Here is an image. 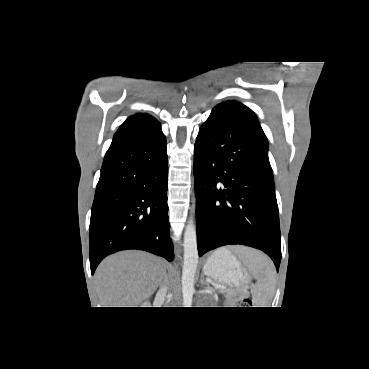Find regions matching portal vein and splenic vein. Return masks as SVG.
<instances>
[{
	"mask_svg": "<svg viewBox=\"0 0 369 369\" xmlns=\"http://www.w3.org/2000/svg\"><path fill=\"white\" fill-rule=\"evenodd\" d=\"M215 288H217V289H219V290H224V289H226V287H225V286H215Z\"/></svg>",
	"mask_w": 369,
	"mask_h": 369,
	"instance_id": "18ae733b",
	"label": "portal vein and splenic vein"
}]
</instances>
